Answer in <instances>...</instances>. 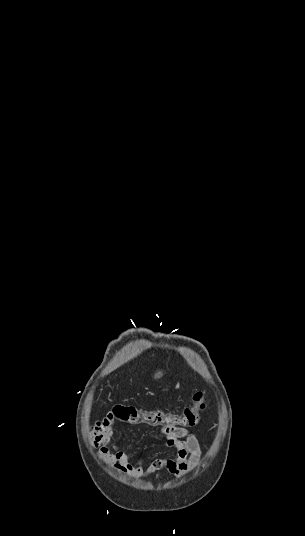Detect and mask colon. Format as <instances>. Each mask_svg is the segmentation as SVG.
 Masks as SVG:
<instances>
[{"mask_svg": "<svg viewBox=\"0 0 305 536\" xmlns=\"http://www.w3.org/2000/svg\"><path fill=\"white\" fill-rule=\"evenodd\" d=\"M206 408L205 392L199 390L194 395V402L186 407L182 414H171L162 412L156 414L152 411H146L135 405H118L115 408V415L118 422L147 421L154 424H163L166 426L194 427L197 424L198 417Z\"/></svg>", "mask_w": 305, "mask_h": 536, "instance_id": "5ec220e1", "label": "colon"}]
</instances>
